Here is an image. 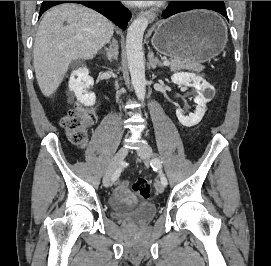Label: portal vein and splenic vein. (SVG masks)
<instances>
[{
  "mask_svg": "<svg viewBox=\"0 0 271 266\" xmlns=\"http://www.w3.org/2000/svg\"><path fill=\"white\" fill-rule=\"evenodd\" d=\"M163 65H164V66H169V65H170V61L164 60V61H163Z\"/></svg>",
  "mask_w": 271,
  "mask_h": 266,
  "instance_id": "1",
  "label": "portal vein and splenic vein"
}]
</instances>
